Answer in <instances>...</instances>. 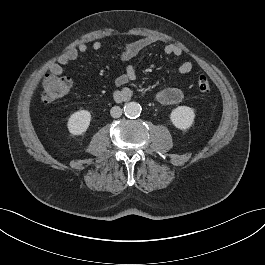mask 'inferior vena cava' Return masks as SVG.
Instances as JSON below:
<instances>
[{
  "label": "inferior vena cava",
  "mask_w": 265,
  "mask_h": 265,
  "mask_svg": "<svg viewBox=\"0 0 265 265\" xmlns=\"http://www.w3.org/2000/svg\"><path fill=\"white\" fill-rule=\"evenodd\" d=\"M110 114L113 118H119L122 115V109L119 106H114L111 108Z\"/></svg>",
  "instance_id": "obj_1"
}]
</instances>
